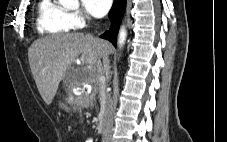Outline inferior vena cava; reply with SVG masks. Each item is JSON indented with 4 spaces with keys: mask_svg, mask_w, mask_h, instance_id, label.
Masks as SVG:
<instances>
[{
    "mask_svg": "<svg viewBox=\"0 0 227 142\" xmlns=\"http://www.w3.org/2000/svg\"><path fill=\"white\" fill-rule=\"evenodd\" d=\"M110 70L108 56L103 57V71L108 75ZM105 86V84H103ZM116 107V101L111 94L106 95V105L104 111L102 142H111L113 133V114Z\"/></svg>",
    "mask_w": 227,
    "mask_h": 142,
    "instance_id": "1",
    "label": "inferior vena cava"
}]
</instances>
